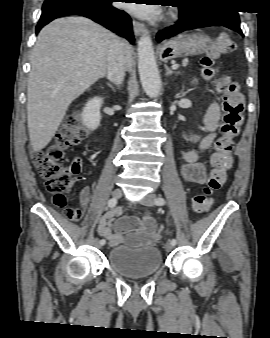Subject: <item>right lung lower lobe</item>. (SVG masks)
Wrapping results in <instances>:
<instances>
[{
	"mask_svg": "<svg viewBox=\"0 0 270 338\" xmlns=\"http://www.w3.org/2000/svg\"><path fill=\"white\" fill-rule=\"evenodd\" d=\"M116 0H45L36 34L52 20L67 15H82L134 42L132 22L127 13L112 6Z\"/></svg>",
	"mask_w": 270,
	"mask_h": 338,
	"instance_id": "right-lung-lower-lobe-1",
	"label": "right lung lower lobe"
}]
</instances>
